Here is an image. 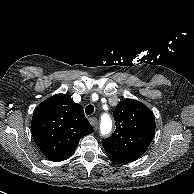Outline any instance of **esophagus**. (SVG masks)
Returning <instances> with one entry per match:
<instances>
[{"instance_id":"obj_1","label":"esophagus","mask_w":194,"mask_h":194,"mask_svg":"<svg viewBox=\"0 0 194 194\" xmlns=\"http://www.w3.org/2000/svg\"><path fill=\"white\" fill-rule=\"evenodd\" d=\"M89 122H90V124L92 125V126H96L97 125V123H98V121H97V119L95 118V117H90L89 118Z\"/></svg>"}]
</instances>
